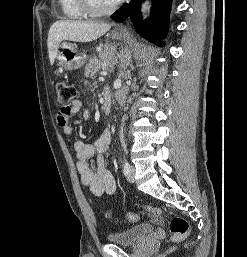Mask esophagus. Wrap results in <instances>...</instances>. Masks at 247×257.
<instances>
[{
  "instance_id": "34e87169",
  "label": "esophagus",
  "mask_w": 247,
  "mask_h": 257,
  "mask_svg": "<svg viewBox=\"0 0 247 257\" xmlns=\"http://www.w3.org/2000/svg\"><path fill=\"white\" fill-rule=\"evenodd\" d=\"M126 28L124 26H119L115 29V31H118V32H122V31H125Z\"/></svg>"
}]
</instances>
